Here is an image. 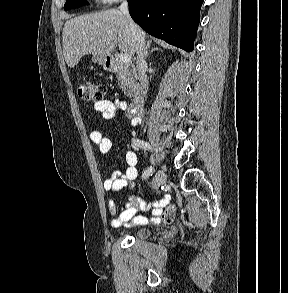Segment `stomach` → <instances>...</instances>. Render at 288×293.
<instances>
[{
	"label": "stomach",
	"mask_w": 288,
	"mask_h": 293,
	"mask_svg": "<svg viewBox=\"0 0 288 293\" xmlns=\"http://www.w3.org/2000/svg\"><path fill=\"white\" fill-rule=\"evenodd\" d=\"M92 61L94 63H98L99 65H102L105 70H111V62H110L109 56L93 55Z\"/></svg>",
	"instance_id": "1"
}]
</instances>
